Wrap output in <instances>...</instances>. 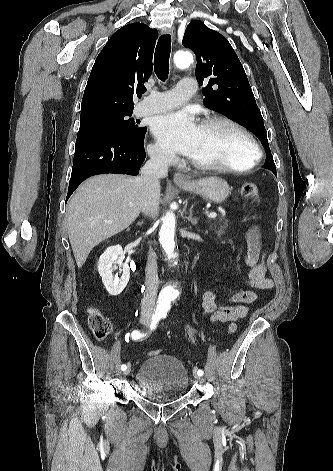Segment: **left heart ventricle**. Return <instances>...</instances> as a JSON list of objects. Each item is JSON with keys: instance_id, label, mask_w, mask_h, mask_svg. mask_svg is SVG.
<instances>
[{"instance_id": "left-heart-ventricle-1", "label": "left heart ventricle", "mask_w": 333, "mask_h": 471, "mask_svg": "<svg viewBox=\"0 0 333 471\" xmlns=\"http://www.w3.org/2000/svg\"><path fill=\"white\" fill-rule=\"evenodd\" d=\"M191 158L207 164L243 166L252 157L248 141L229 125L199 126Z\"/></svg>"}]
</instances>
